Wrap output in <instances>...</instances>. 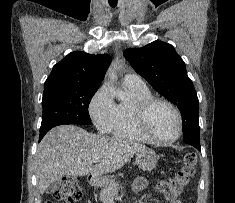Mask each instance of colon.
I'll return each instance as SVG.
<instances>
[{"label":"colon","mask_w":235,"mask_h":203,"mask_svg":"<svg viewBox=\"0 0 235 203\" xmlns=\"http://www.w3.org/2000/svg\"><path fill=\"white\" fill-rule=\"evenodd\" d=\"M195 165V154L185 153L178 171L172 177L159 181L156 190L167 199H177L194 176ZM81 197L82 189L73 177L64 178L62 185L53 193L54 201L65 203H77Z\"/></svg>","instance_id":"obj_1"}]
</instances>
